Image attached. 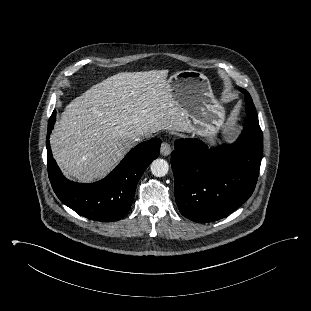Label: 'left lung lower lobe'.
Returning a JSON list of instances; mask_svg holds the SVG:
<instances>
[{
  "label": "left lung lower lobe",
  "mask_w": 311,
  "mask_h": 311,
  "mask_svg": "<svg viewBox=\"0 0 311 311\" xmlns=\"http://www.w3.org/2000/svg\"><path fill=\"white\" fill-rule=\"evenodd\" d=\"M174 146L175 198L186 218L198 223L219 220L253 193L263 155L258 120L248 118L232 145L209 149L198 139H178Z\"/></svg>",
  "instance_id": "0a47b994"
}]
</instances>
